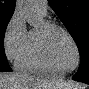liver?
Wrapping results in <instances>:
<instances>
[{
    "mask_svg": "<svg viewBox=\"0 0 89 89\" xmlns=\"http://www.w3.org/2000/svg\"><path fill=\"white\" fill-rule=\"evenodd\" d=\"M80 86L66 85L61 82H50L22 73L0 74L1 89H83Z\"/></svg>",
    "mask_w": 89,
    "mask_h": 89,
    "instance_id": "1",
    "label": "liver"
}]
</instances>
